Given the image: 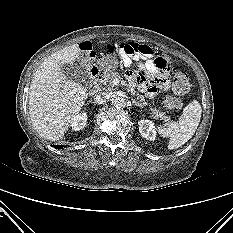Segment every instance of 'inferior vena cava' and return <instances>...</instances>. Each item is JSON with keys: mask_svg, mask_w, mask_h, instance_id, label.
I'll use <instances>...</instances> for the list:
<instances>
[{"mask_svg": "<svg viewBox=\"0 0 233 233\" xmlns=\"http://www.w3.org/2000/svg\"><path fill=\"white\" fill-rule=\"evenodd\" d=\"M108 98L109 95L107 93H97L94 96V101L95 103L103 104Z\"/></svg>", "mask_w": 233, "mask_h": 233, "instance_id": "1", "label": "inferior vena cava"}]
</instances>
